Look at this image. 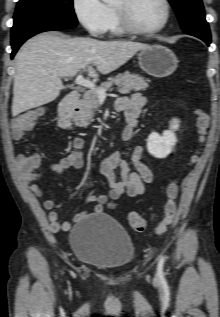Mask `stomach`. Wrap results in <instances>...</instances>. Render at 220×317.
I'll return each mask as SVG.
<instances>
[{
  "instance_id": "stomach-1",
  "label": "stomach",
  "mask_w": 220,
  "mask_h": 317,
  "mask_svg": "<svg viewBox=\"0 0 220 317\" xmlns=\"http://www.w3.org/2000/svg\"><path fill=\"white\" fill-rule=\"evenodd\" d=\"M138 62L144 72L158 78L171 75L178 66L176 55L162 45H149L141 49Z\"/></svg>"
}]
</instances>
